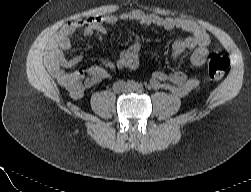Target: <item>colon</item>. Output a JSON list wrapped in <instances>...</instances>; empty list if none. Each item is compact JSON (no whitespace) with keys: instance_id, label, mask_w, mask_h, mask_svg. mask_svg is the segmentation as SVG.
Instances as JSON below:
<instances>
[{"instance_id":"1","label":"colon","mask_w":251,"mask_h":192,"mask_svg":"<svg viewBox=\"0 0 251 192\" xmlns=\"http://www.w3.org/2000/svg\"><path fill=\"white\" fill-rule=\"evenodd\" d=\"M229 66L228 58L218 54H211L208 61L209 76L212 79L221 78Z\"/></svg>"}]
</instances>
